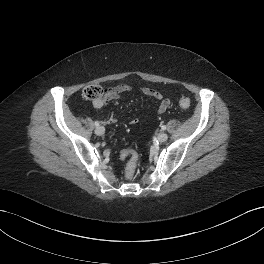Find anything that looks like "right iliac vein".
<instances>
[{
    "instance_id": "right-iliac-vein-1",
    "label": "right iliac vein",
    "mask_w": 264,
    "mask_h": 264,
    "mask_svg": "<svg viewBox=\"0 0 264 264\" xmlns=\"http://www.w3.org/2000/svg\"><path fill=\"white\" fill-rule=\"evenodd\" d=\"M105 132V128L103 126H98L95 128V134L97 135H103Z\"/></svg>"
}]
</instances>
